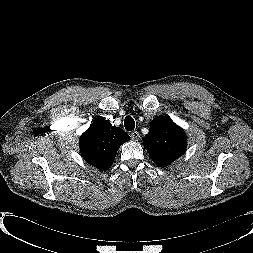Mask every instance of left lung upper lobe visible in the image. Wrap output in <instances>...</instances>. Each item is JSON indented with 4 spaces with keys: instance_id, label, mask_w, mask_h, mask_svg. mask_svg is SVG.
Here are the masks:
<instances>
[{
    "instance_id": "obj_1",
    "label": "left lung upper lobe",
    "mask_w": 253,
    "mask_h": 253,
    "mask_svg": "<svg viewBox=\"0 0 253 253\" xmlns=\"http://www.w3.org/2000/svg\"><path fill=\"white\" fill-rule=\"evenodd\" d=\"M143 143L153 162L166 167L184 153L187 142L181 127L168 117L158 116L151 122Z\"/></svg>"
}]
</instances>
